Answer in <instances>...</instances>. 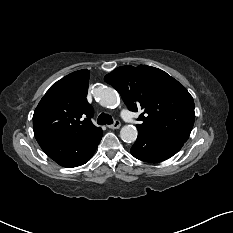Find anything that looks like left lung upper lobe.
Segmentation results:
<instances>
[{"label":"left lung upper lobe","instance_id":"1","mask_svg":"<svg viewBox=\"0 0 233 233\" xmlns=\"http://www.w3.org/2000/svg\"><path fill=\"white\" fill-rule=\"evenodd\" d=\"M128 109L142 111L140 132L186 142L195 113L190 93L166 72L147 65L121 66L104 77Z\"/></svg>","mask_w":233,"mask_h":233}]
</instances>
